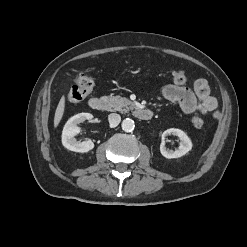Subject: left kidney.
I'll list each match as a JSON object with an SVG mask.
<instances>
[{"mask_svg":"<svg viewBox=\"0 0 247 247\" xmlns=\"http://www.w3.org/2000/svg\"><path fill=\"white\" fill-rule=\"evenodd\" d=\"M171 134L178 136L180 139V146L175 151L167 150L165 147V137ZM192 146L193 145L190 138L187 136V134L184 131L176 128H170L165 130L162 134V143L160 145V152L165 158L168 159L179 158L185 155L187 152H189L192 149Z\"/></svg>","mask_w":247,"mask_h":247,"instance_id":"obj_1","label":"left kidney"}]
</instances>
